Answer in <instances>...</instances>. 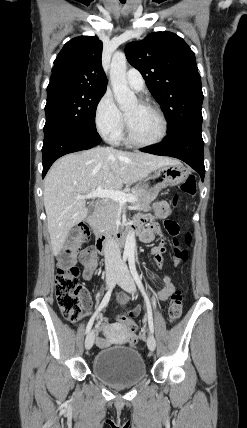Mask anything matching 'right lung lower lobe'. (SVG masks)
<instances>
[{
    "label": "right lung lower lobe",
    "mask_w": 247,
    "mask_h": 428,
    "mask_svg": "<svg viewBox=\"0 0 247 428\" xmlns=\"http://www.w3.org/2000/svg\"><path fill=\"white\" fill-rule=\"evenodd\" d=\"M101 142L97 132H86L71 127H54L44 131L42 148L43 172L46 175L50 166L59 157L81 150L90 149Z\"/></svg>",
    "instance_id": "1"
}]
</instances>
